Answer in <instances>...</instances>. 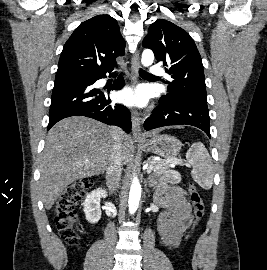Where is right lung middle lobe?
<instances>
[{
	"instance_id": "obj_1",
	"label": "right lung middle lobe",
	"mask_w": 267,
	"mask_h": 270,
	"mask_svg": "<svg viewBox=\"0 0 267 270\" xmlns=\"http://www.w3.org/2000/svg\"><path fill=\"white\" fill-rule=\"evenodd\" d=\"M82 75H73V74H68V75H62V76H56L55 80H60V79H75V78H82Z\"/></svg>"
}]
</instances>
